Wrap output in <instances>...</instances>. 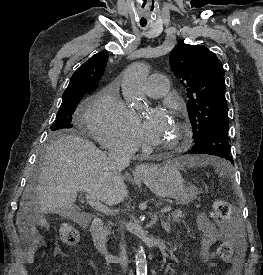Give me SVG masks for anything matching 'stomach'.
<instances>
[{"label": "stomach", "mask_w": 263, "mask_h": 275, "mask_svg": "<svg viewBox=\"0 0 263 275\" xmlns=\"http://www.w3.org/2000/svg\"><path fill=\"white\" fill-rule=\"evenodd\" d=\"M199 161L198 158H193ZM178 162H168L159 168H150L142 180L159 197H170L179 204H188L198 191L185 186V181L178 171Z\"/></svg>", "instance_id": "1"}]
</instances>
